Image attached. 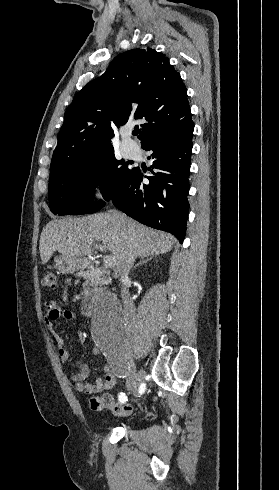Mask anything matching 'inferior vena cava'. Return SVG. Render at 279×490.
<instances>
[{"label":"inferior vena cava","instance_id":"1","mask_svg":"<svg viewBox=\"0 0 279 490\" xmlns=\"http://www.w3.org/2000/svg\"><path fill=\"white\" fill-rule=\"evenodd\" d=\"M113 216L117 218V222H119L118 226H124L126 224V216L124 214H121V212H117V210H113L112 212ZM137 258L136 252L134 250H130L127 260L125 262L124 268H122V272L120 274V286H121V296L123 300V312L126 320V324L128 326H133L135 322V314H136V308L133 304V300L128 292L126 290L125 284L127 282H130L129 280V272L131 268H133V264Z\"/></svg>","mask_w":279,"mask_h":490}]
</instances>
